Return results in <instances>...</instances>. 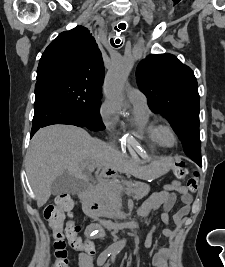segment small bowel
<instances>
[{"mask_svg": "<svg viewBox=\"0 0 225 267\" xmlns=\"http://www.w3.org/2000/svg\"><path fill=\"white\" fill-rule=\"evenodd\" d=\"M176 193L180 195L182 202L181 208L174 214L173 221L177 226L183 223L184 217L188 214L190 206L192 203V196L187 187L183 186L178 182H173L164 187L163 191L156 192L152 194L138 209V214L140 216H147L152 211L157 209H162L161 220L166 225L162 229V234L168 238L172 239L174 237V232L170 228V216L169 212L173 208L176 202ZM96 226L91 225L86 229V236L95 235L94 231ZM156 230L153 227L151 232L148 234L145 240V247L149 248L152 244V233ZM90 244L89 250H79V264L81 267H91V256L95 253L94 244L91 241H87ZM170 250L165 247H161L157 250L156 254L152 258L153 267H167V258Z\"/></svg>", "mask_w": 225, "mask_h": 267, "instance_id": "small-bowel-1", "label": "small bowel"}]
</instances>
